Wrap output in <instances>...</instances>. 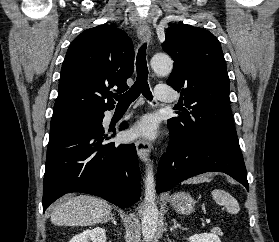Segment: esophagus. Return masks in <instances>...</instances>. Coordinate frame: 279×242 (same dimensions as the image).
Listing matches in <instances>:
<instances>
[{
    "mask_svg": "<svg viewBox=\"0 0 279 242\" xmlns=\"http://www.w3.org/2000/svg\"><path fill=\"white\" fill-rule=\"evenodd\" d=\"M138 37L142 42L147 41L150 43L151 41V32L149 25L146 22H141L138 27ZM137 154L142 161H146L149 157L151 148L149 143L142 138H138L135 142Z\"/></svg>",
    "mask_w": 279,
    "mask_h": 242,
    "instance_id": "esophagus-1",
    "label": "esophagus"
}]
</instances>
